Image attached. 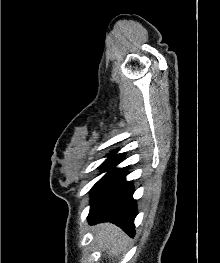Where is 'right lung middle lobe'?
<instances>
[{"instance_id": "right-lung-middle-lobe-1", "label": "right lung middle lobe", "mask_w": 220, "mask_h": 263, "mask_svg": "<svg viewBox=\"0 0 220 263\" xmlns=\"http://www.w3.org/2000/svg\"><path fill=\"white\" fill-rule=\"evenodd\" d=\"M108 159L101 165V167L105 166L114 156L112 154L108 155Z\"/></svg>"}]
</instances>
